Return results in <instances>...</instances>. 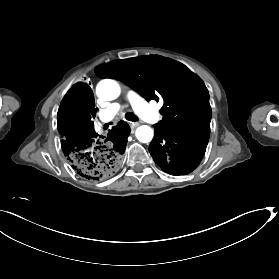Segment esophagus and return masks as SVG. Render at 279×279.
Instances as JSON below:
<instances>
[{
    "label": "esophagus",
    "instance_id": "esophagus-1",
    "mask_svg": "<svg viewBox=\"0 0 279 279\" xmlns=\"http://www.w3.org/2000/svg\"><path fill=\"white\" fill-rule=\"evenodd\" d=\"M129 125H130V127H131L132 129H134V128H136V127L139 125V123H138V122H132V123H130Z\"/></svg>",
    "mask_w": 279,
    "mask_h": 279
}]
</instances>
